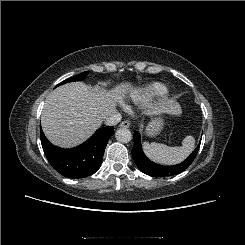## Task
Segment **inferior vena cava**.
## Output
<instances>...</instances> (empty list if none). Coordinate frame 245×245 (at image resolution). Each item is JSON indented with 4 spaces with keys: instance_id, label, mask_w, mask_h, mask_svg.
I'll list each match as a JSON object with an SVG mask.
<instances>
[{
    "instance_id": "inferior-vena-cava-1",
    "label": "inferior vena cava",
    "mask_w": 245,
    "mask_h": 245,
    "mask_svg": "<svg viewBox=\"0 0 245 245\" xmlns=\"http://www.w3.org/2000/svg\"><path fill=\"white\" fill-rule=\"evenodd\" d=\"M121 119V114L119 112H115L105 118V124L108 126H114L117 125L121 121Z\"/></svg>"
}]
</instances>
